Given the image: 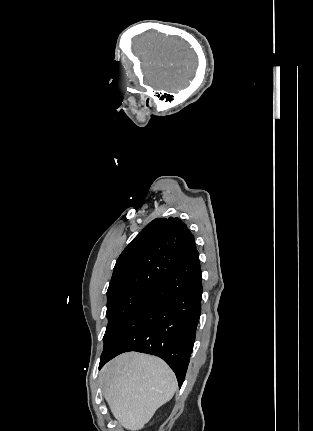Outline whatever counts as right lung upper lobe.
<instances>
[{
  "label": "right lung upper lobe",
  "mask_w": 313,
  "mask_h": 431,
  "mask_svg": "<svg viewBox=\"0 0 313 431\" xmlns=\"http://www.w3.org/2000/svg\"><path fill=\"white\" fill-rule=\"evenodd\" d=\"M195 250L194 236L180 219L153 220L117 259L107 296L133 291L151 292Z\"/></svg>",
  "instance_id": "cb5924a9"
}]
</instances>
